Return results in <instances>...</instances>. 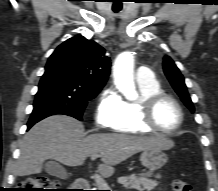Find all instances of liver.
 <instances>
[{"label":"liver","mask_w":218,"mask_h":191,"mask_svg":"<svg viewBox=\"0 0 218 191\" xmlns=\"http://www.w3.org/2000/svg\"><path fill=\"white\" fill-rule=\"evenodd\" d=\"M174 143L164 136H134L127 134H91L85 137L84 126L78 120L55 115L33 126L24 136L16 175L27 176L42 171L43 162L53 158L67 166H80L87 157L101 156L98 171L109 177L114 166L146 149L169 150Z\"/></svg>","instance_id":"6515ba94"}]
</instances>
